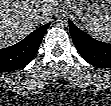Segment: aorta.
Instances as JSON below:
<instances>
[{"label":"aorta","mask_w":111,"mask_h":106,"mask_svg":"<svg viewBox=\"0 0 111 106\" xmlns=\"http://www.w3.org/2000/svg\"><path fill=\"white\" fill-rule=\"evenodd\" d=\"M57 25L59 27H66L68 25V19L66 17H59L57 19Z\"/></svg>","instance_id":"1"}]
</instances>
